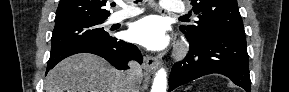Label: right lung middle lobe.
<instances>
[{"label": "right lung middle lobe", "mask_w": 289, "mask_h": 92, "mask_svg": "<svg viewBox=\"0 0 289 92\" xmlns=\"http://www.w3.org/2000/svg\"><path fill=\"white\" fill-rule=\"evenodd\" d=\"M104 21L80 18L56 22L51 38V52L76 43L113 39L103 28Z\"/></svg>", "instance_id": "right-lung-middle-lobe-1"}]
</instances>
